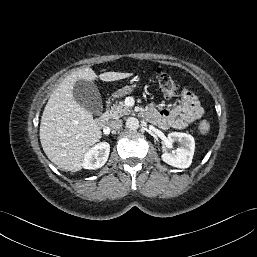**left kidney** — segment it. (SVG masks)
Returning <instances> with one entry per match:
<instances>
[{"instance_id":"left-kidney-1","label":"left kidney","mask_w":257,"mask_h":257,"mask_svg":"<svg viewBox=\"0 0 257 257\" xmlns=\"http://www.w3.org/2000/svg\"><path fill=\"white\" fill-rule=\"evenodd\" d=\"M168 140L171 144L179 142L181 146L172 153H163L162 160L173 167L188 168L192 163L195 150L193 136L187 133L172 132L168 134Z\"/></svg>"}]
</instances>
